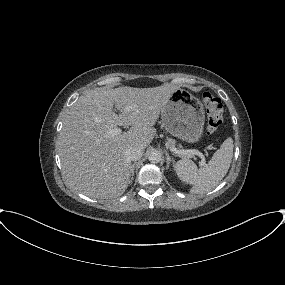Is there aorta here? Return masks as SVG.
Segmentation results:
<instances>
[{"label": "aorta", "instance_id": "1", "mask_svg": "<svg viewBox=\"0 0 285 285\" xmlns=\"http://www.w3.org/2000/svg\"><path fill=\"white\" fill-rule=\"evenodd\" d=\"M162 155L159 151L157 150H152L148 154V160L151 163H159L161 161Z\"/></svg>", "mask_w": 285, "mask_h": 285}]
</instances>
